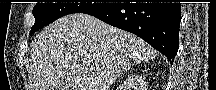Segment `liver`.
I'll return each instance as SVG.
<instances>
[{
    "label": "liver",
    "mask_w": 216,
    "mask_h": 90,
    "mask_svg": "<svg viewBox=\"0 0 216 90\" xmlns=\"http://www.w3.org/2000/svg\"><path fill=\"white\" fill-rule=\"evenodd\" d=\"M152 56L138 36L88 14H69L32 42L29 80L32 90H109L123 72Z\"/></svg>",
    "instance_id": "6515ba94"
}]
</instances>
